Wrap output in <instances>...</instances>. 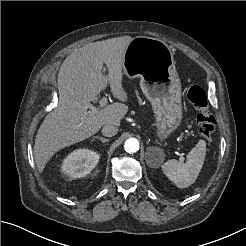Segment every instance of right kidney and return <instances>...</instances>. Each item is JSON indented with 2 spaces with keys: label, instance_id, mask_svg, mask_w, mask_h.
Returning a JSON list of instances; mask_svg holds the SVG:
<instances>
[{
  "label": "right kidney",
  "instance_id": "right-kidney-1",
  "mask_svg": "<svg viewBox=\"0 0 246 246\" xmlns=\"http://www.w3.org/2000/svg\"><path fill=\"white\" fill-rule=\"evenodd\" d=\"M99 154L90 149H76L71 152L61 166L62 172L72 178L89 174L99 161Z\"/></svg>",
  "mask_w": 246,
  "mask_h": 246
}]
</instances>
